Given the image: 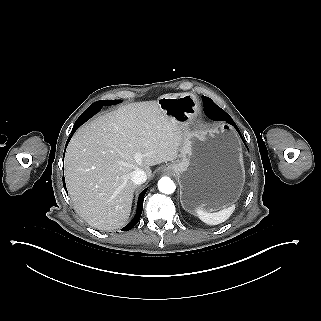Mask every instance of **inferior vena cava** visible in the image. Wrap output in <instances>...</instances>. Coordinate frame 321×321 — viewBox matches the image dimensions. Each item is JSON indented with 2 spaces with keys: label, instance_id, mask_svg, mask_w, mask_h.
Instances as JSON below:
<instances>
[{
  "label": "inferior vena cava",
  "instance_id": "inferior-vena-cava-1",
  "mask_svg": "<svg viewBox=\"0 0 321 321\" xmlns=\"http://www.w3.org/2000/svg\"><path fill=\"white\" fill-rule=\"evenodd\" d=\"M130 176H131V180L137 185L143 184L147 180L146 173L143 170H139V169L134 170L130 174Z\"/></svg>",
  "mask_w": 321,
  "mask_h": 321
}]
</instances>
